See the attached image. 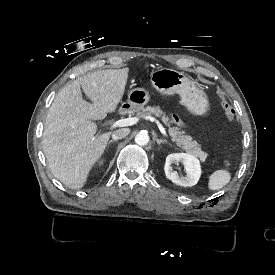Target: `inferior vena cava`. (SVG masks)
I'll use <instances>...</instances> for the list:
<instances>
[{"mask_svg": "<svg viewBox=\"0 0 275 275\" xmlns=\"http://www.w3.org/2000/svg\"><path fill=\"white\" fill-rule=\"evenodd\" d=\"M129 133H130V129L128 128L118 129L113 131L112 138L114 140L122 139V138H125Z\"/></svg>", "mask_w": 275, "mask_h": 275, "instance_id": "inferior-vena-cava-1", "label": "inferior vena cava"}]
</instances>
